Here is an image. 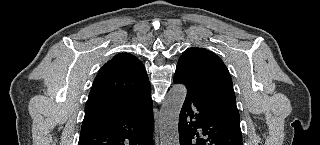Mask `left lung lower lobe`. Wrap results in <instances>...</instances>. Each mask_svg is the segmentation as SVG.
I'll list each match as a JSON object with an SVG mask.
<instances>
[{
    "instance_id": "0a47b994",
    "label": "left lung lower lobe",
    "mask_w": 320,
    "mask_h": 145,
    "mask_svg": "<svg viewBox=\"0 0 320 145\" xmlns=\"http://www.w3.org/2000/svg\"><path fill=\"white\" fill-rule=\"evenodd\" d=\"M174 83L187 88L179 116L180 145H242L240 123L222 114L214 104L213 83L180 64Z\"/></svg>"
}]
</instances>
